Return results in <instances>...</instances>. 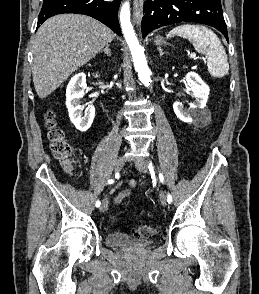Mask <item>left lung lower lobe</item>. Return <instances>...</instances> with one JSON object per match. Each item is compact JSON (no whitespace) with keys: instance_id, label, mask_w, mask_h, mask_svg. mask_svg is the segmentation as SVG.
Segmentation results:
<instances>
[{"instance_id":"obj_1","label":"left lung lower lobe","mask_w":259,"mask_h":294,"mask_svg":"<svg viewBox=\"0 0 259 294\" xmlns=\"http://www.w3.org/2000/svg\"><path fill=\"white\" fill-rule=\"evenodd\" d=\"M182 21L212 26L228 41L220 0H146L141 23L143 37L154 29Z\"/></svg>"}]
</instances>
